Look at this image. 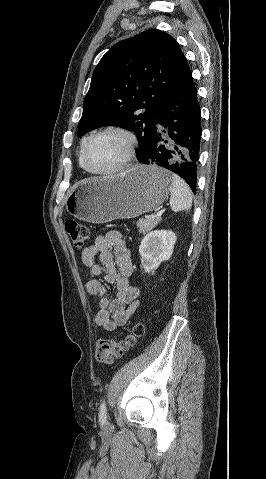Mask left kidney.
I'll return each mask as SVG.
<instances>
[{
	"label": "left kidney",
	"mask_w": 266,
	"mask_h": 479,
	"mask_svg": "<svg viewBox=\"0 0 266 479\" xmlns=\"http://www.w3.org/2000/svg\"><path fill=\"white\" fill-rule=\"evenodd\" d=\"M176 235L170 230H154L141 241L139 253L145 272H154L162 261L170 258Z\"/></svg>",
	"instance_id": "left-kidney-1"
}]
</instances>
